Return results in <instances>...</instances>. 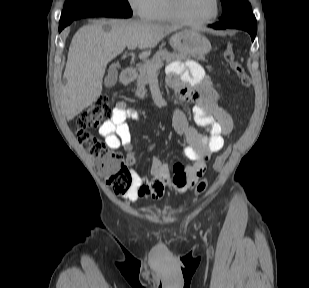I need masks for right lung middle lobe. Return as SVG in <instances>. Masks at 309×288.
Listing matches in <instances>:
<instances>
[{
    "label": "right lung middle lobe",
    "instance_id": "dd1d6c3e",
    "mask_svg": "<svg viewBox=\"0 0 309 288\" xmlns=\"http://www.w3.org/2000/svg\"><path fill=\"white\" fill-rule=\"evenodd\" d=\"M93 10H118L132 13L127 0H66L59 26H67L73 20Z\"/></svg>",
    "mask_w": 309,
    "mask_h": 288
}]
</instances>
